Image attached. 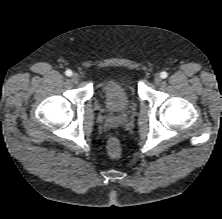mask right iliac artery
<instances>
[{
    "instance_id": "1",
    "label": "right iliac artery",
    "mask_w": 222,
    "mask_h": 219,
    "mask_svg": "<svg viewBox=\"0 0 222 219\" xmlns=\"http://www.w3.org/2000/svg\"><path fill=\"white\" fill-rule=\"evenodd\" d=\"M65 74H66V76H71L72 75V71L71 70H67L66 72H65Z\"/></svg>"
}]
</instances>
